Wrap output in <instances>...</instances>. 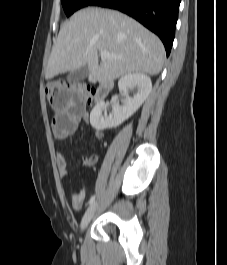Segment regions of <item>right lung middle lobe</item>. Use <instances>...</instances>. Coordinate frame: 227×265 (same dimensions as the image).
Segmentation results:
<instances>
[{
    "label": "right lung middle lobe",
    "mask_w": 227,
    "mask_h": 265,
    "mask_svg": "<svg viewBox=\"0 0 227 265\" xmlns=\"http://www.w3.org/2000/svg\"><path fill=\"white\" fill-rule=\"evenodd\" d=\"M93 0H61L64 11L70 16L76 10L89 5Z\"/></svg>",
    "instance_id": "obj_1"
}]
</instances>
